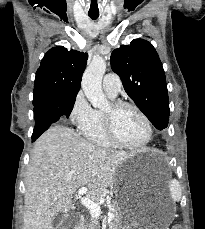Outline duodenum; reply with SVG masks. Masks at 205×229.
I'll list each match as a JSON object with an SVG mask.
<instances>
[{
	"label": "duodenum",
	"instance_id": "410a0bca",
	"mask_svg": "<svg viewBox=\"0 0 205 229\" xmlns=\"http://www.w3.org/2000/svg\"><path fill=\"white\" fill-rule=\"evenodd\" d=\"M80 220H81V216H78V217H77V220H76V223H79ZM72 229H74V228H72Z\"/></svg>",
	"mask_w": 205,
	"mask_h": 229
}]
</instances>
